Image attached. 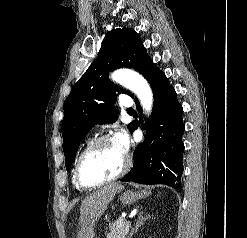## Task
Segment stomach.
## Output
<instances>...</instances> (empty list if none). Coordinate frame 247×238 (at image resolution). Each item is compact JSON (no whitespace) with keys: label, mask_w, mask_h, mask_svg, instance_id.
Masks as SVG:
<instances>
[{"label":"stomach","mask_w":247,"mask_h":238,"mask_svg":"<svg viewBox=\"0 0 247 238\" xmlns=\"http://www.w3.org/2000/svg\"><path fill=\"white\" fill-rule=\"evenodd\" d=\"M151 194L148 189H139L137 191H125L120 197L121 203L124 205H131L139 199L147 198Z\"/></svg>","instance_id":"1"}]
</instances>
